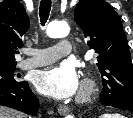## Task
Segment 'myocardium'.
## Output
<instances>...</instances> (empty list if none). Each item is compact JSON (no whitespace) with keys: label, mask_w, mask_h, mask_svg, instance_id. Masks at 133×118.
<instances>
[{"label":"myocardium","mask_w":133,"mask_h":118,"mask_svg":"<svg viewBox=\"0 0 133 118\" xmlns=\"http://www.w3.org/2000/svg\"><path fill=\"white\" fill-rule=\"evenodd\" d=\"M96 91L97 88L94 81L88 78L85 79L78 96V101L82 103L90 101L95 95Z\"/></svg>","instance_id":"myocardium-1"}]
</instances>
